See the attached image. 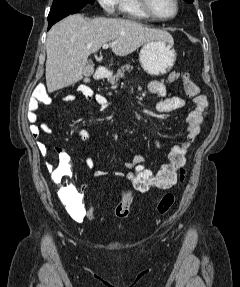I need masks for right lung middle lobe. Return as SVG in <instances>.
<instances>
[{"label": "right lung middle lobe", "instance_id": "1", "mask_svg": "<svg viewBox=\"0 0 240 287\" xmlns=\"http://www.w3.org/2000/svg\"><path fill=\"white\" fill-rule=\"evenodd\" d=\"M94 1L95 0H53L48 21L57 16L79 11L87 4H93Z\"/></svg>", "mask_w": 240, "mask_h": 287}]
</instances>
